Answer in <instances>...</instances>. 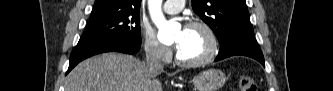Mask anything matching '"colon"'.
<instances>
[{"mask_svg": "<svg viewBox=\"0 0 333 91\" xmlns=\"http://www.w3.org/2000/svg\"><path fill=\"white\" fill-rule=\"evenodd\" d=\"M239 87L241 91H257V85L249 75H242L240 77Z\"/></svg>", "mask_w": 333, "mask_h": 91, "instance_id": "obj_1", "label": "colon"}]
</instances>
